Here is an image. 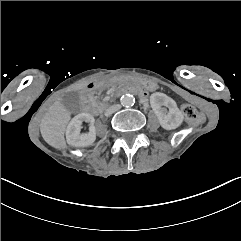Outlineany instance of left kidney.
Returning a JSON list of instances; mask_svg holds the SVG:
<instances>
[{"instance_id":"5707ae66","label":"left kidney","mask_w":241,"mask_h":241,"mask_svg":"<svg viewBox=\"0 0 241 241\" xmlns=\"http://www.w3.org/2000/svg\"><path fill=\"white\" fill-rule=\"evenodd\" d=\"M150 105L156 115L160 126L167 131L175 130L179 128L184 121V115L178 108L176 102L161 92H155L150 96ZM164 105L169 109V113L166 114L165 109L160 106Z\"/></svg>"}]
</instances>
